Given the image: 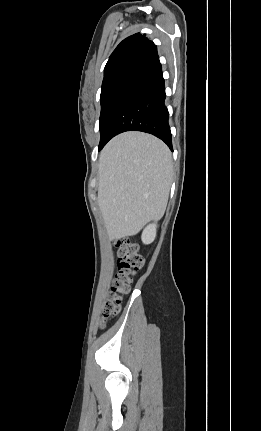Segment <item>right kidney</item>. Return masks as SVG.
<instances>
[{"label": "right kidney", "mask_w": 261, "mask_h": 431, "mask_svg": "<svg viewBox=\"0 0 261 431\" xmlns=\"http://www.w3.org/2000/svg\"><path fill=\"white\" fill-rule=\"evenodd\" d=\"M156 224H149L142 233V242L144 244H150L154 241L156 237Z\"/></svg>", "instance_id": "1"}]
</instances>
